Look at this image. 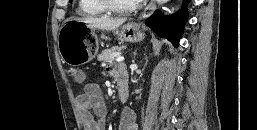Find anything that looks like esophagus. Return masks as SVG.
Instances as JSON below:
<instances>
[{
  "label": "esophagus",
  "mask_w": 257,
  "mask_h": 130,
  "mask_svg": "<svg viewBox=\"0 0 257 130\" xmlns=\"http://www.w3.org/2000/svg\"><path fill=\"white\" fill-rule=\"evenodd\" d=\"M155 7H156L155 0H151L149 4L146 6V8L144 9L141 17L147 18L148 16H150L155 10Z\"/></svg>",
  "instance_id": "esophagus-1"
}]
</instances>
